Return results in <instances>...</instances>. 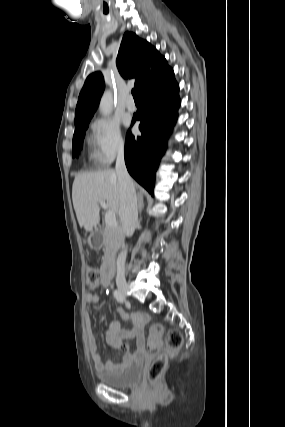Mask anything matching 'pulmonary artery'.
<instances>
[{"label":"pulmonary artery","instance_id":"e3ab8cb5","mask_svg":"<svg viewBox=\"0 0 285 427\" xmlns=\"http://www.w3.org/2000/svg\"><path fill=\"white\" fill-rule=\"evenodd\" d=\"M126 108L131 112L136 110V104L131 96H129L126 101Z\"/></svg>","mask_w":285,"mask_h":427}]
</instances>
